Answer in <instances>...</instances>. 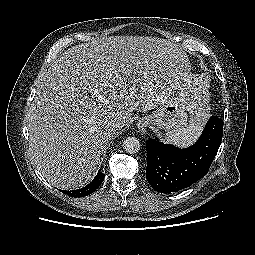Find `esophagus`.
<instances>
[{
  "label": "esophagus",
  "instance_id": "esophagus-1",
  "mask_svg": "<svg viewBox=\"0 0 255 255\" xmlns=\"http://www.w3.org/2000/svg\"><path fill=\"white\" fill-rule=\"evenodd\" d=\"M149 124V119L144 117L138 122L137 128L140 132L145 133Z\"/></svg>",
  "mask_w": 255,
  "mask_h": 255
}]
</instances>
